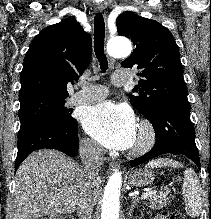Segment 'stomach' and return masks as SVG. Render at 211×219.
<instances>
[{"label":"stomach","mask_w":211,"mask_h":219,"mask_svg":"<svg viewBox=\"0 0 211 219\" xmlns=\"http://www.w3.org/2000/svg\"><path fill=\"white\" fill-rule=\"evenodd\" d=\"M154 181V174L147 169H137L129 174V184L135 187L148 186Z\"/></svg>","instance_id":"0dacf381"}]
</instances>
